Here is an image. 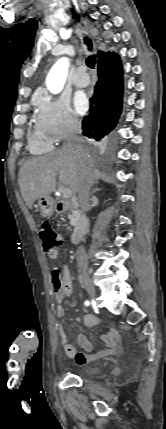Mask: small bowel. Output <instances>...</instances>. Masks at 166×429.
I'll use <instances>...</instances> for the list:
<instances>
[{
	"mask_svg": "<svg viewBox=\"0 0 166 429\" xmlns=\"http://www.w3.org/2000/svg\"><path fill=\"white\" fill-rule=\"evenodd\" d=\"M48 257L51 260H57L60 257V251L55 249L48 252ZM51 283L53 287L54 296L57 302L56 315L62 318L65 315L63 301L70 296L72 292V280L70 271L67 266L59 269L52 266L50 269ZM77 322L83 323L87 328L92 329L98 323V318L94 315H87L83 319L77 318ZM60 342L66 355L74 359L78 365H85L87 363L96 361L105 356L114 353L118 347V334L114 328H111L102 334L97 342L93 344L84 335L77 336V343L82 351H77L76 348L68 343L67 336L62 327L59 329ZM99 347L98 349L96 347Z\"/></svg>",
	"mask_w": 166,
	"mask_h": 429,
	"instance_id": "small-bowel-1",
	"label": "small bowel"
}]
</instances>
